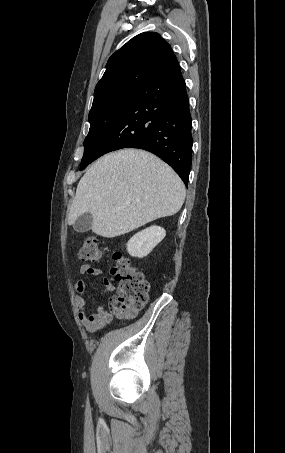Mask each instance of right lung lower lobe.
<instances>
[{
    "label": "right lung lower lobe",
    "instance_id": "right-lung-lower-lobe-1",
    "mask_svg": "<svg viewBox=\"0 0 285 453\" xmlns=\"http://www.w3.org/2000/svg\"><path fill=\"white\" fill-rule=\"evenodd\" d=\"M192 119L179 64L153 76L139 90L98 157L122 148H140L168 163L186 186L192 163Z\"/></svg>",
    "mask_w": 285,
    "mask_h": 453
}]
</instances>
